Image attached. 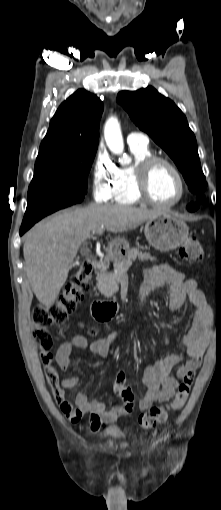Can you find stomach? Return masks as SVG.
Wrapping results in <instances>:
<instances>
[{"instance_id":"stomach-1","label":"stomach","mask_w":221,"mask_h":510,"mask_svg":"<svg viewBox=\"0 0 221 510\" xmlns=\"http://www.w3.org/2000/svg\"><path fill=\"white\" fill-rule=\"evenodd\" d=\"M144 233L148 243L156 250L168 252L182 245L189 235L187 224L179 217L163 212L146 221ZM112 258L121 259L129 250V243L122 238L110 246Z\"/></svg>"}]
</instances>
